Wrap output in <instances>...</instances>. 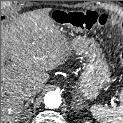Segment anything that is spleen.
<instances>
[{"label": "spleen", "instance_id": "3e777b00", "mask_svg": "<svg viewBox=\"0 0 123 123\" xmlns=\"http://www.w3.org/2000/svg\"><path fill=\"white\" fill-rule=\"evenodd\" d=\"M119 98L120 105L113 109L103 105H93L90 108L93 117L101 123H123V88Z\"/></svg>", "mask_w": 123, "mask_h": 123}]
</instances>
